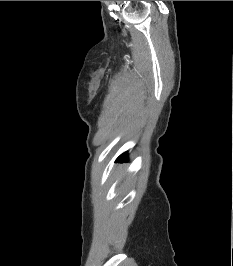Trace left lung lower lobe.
I'll use <instances>...</instances> for the list:
<instances>
[{
	"label": "left lung lower lobe",
	"mask_w": 233,
	"mask_h": 266,
	"mask_svg": "<svg viewBox=\"0 0 233 266\" xmlns=\"http://www.w3.org/2000/svg\"><path fill=\"white\" fill-rule=\"evenodd\" d=\"M127 160V153L120 155L117 161H126Z\"/></svg>",
	"instance_id": "0a47b994"
}]
</instances>
